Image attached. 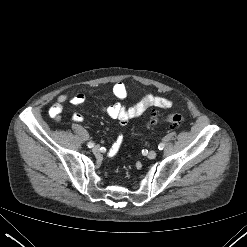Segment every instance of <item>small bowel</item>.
<instances>
[{"label": "small bowel", "mask_w": 247, "mask_h": 247, "mask_svg": "<svg viewBox=\"0 0 247 247\" xmlns=\"http://www.w3.org/2000/svg\"><path fill=\"white\" fill-rule=\"evenodd\" d=\"M112 92L117 98L118 102L102 108L101 111L110 118L117 120L121 125H126L131 119L140 117L150 107L168 109L173 105V102L168 98L155 96L153 94H145L137 102L127 107L121 102L127 96V88L122 82L115 83L112 88ZM66 102L80 106L86 102V97L82 93H76L73 95L61 94L57 97L56 103L50 108V115L56 116L61 113ZM72 119L75 122H81L83 120V116L80 113H74ZM122 141L123 136H117L116 140L108 151L109 157H113L117 154Z\"/></svg>", "instance_id": "c3829d8e"}]
</instances>
